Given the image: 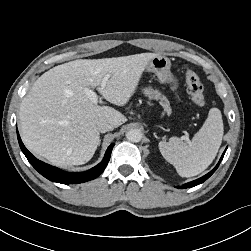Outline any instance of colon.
Wrapping results in <instances>:
<instances>
[{
    "label": "colon",
    "instance_id": "1",
    "mask_svg": "<svg viewBox=\"0 0 251 251\" xmlns=\"http://www.w3.org/2000/svg\"><path fill=\"white\" fill-rule=\"evenodd\" d=\"M185 83L187 92L193 103L203 106L205 104L203 84L199 76L190 68L185 69Z\"/></svg>",
    "mask_w": 251,
    "mask_h": 251
}]
</instances>
